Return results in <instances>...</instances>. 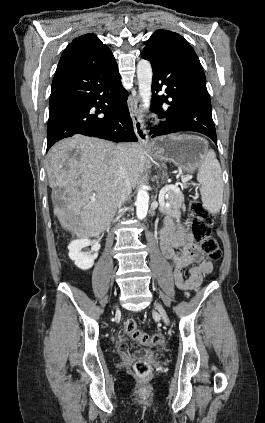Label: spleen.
I'll use <instances>...</instances> for the list:
<instances>
[{
	"label": "spleen",
	"mask_w": 265,
	"mask_h": 423,
	"mask_svg": "<svg viewBox=\"0 0 265 423\" xmlns=\"http://www.w3.org/2000/svg\"><path fill=\"white\" fill-rule=\"evenodd\" d=\"M197 181L201 188V199L208 212L216 214L223 201L222 171L215 152L209 150L199 165Z\"/></svg>",
	"instance_id": "3e777b00"
}]
</instances>
